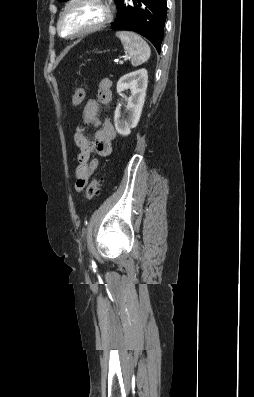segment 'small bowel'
Masks as SVG:
<instances>
[{
  "instance_id": "1",
  "label": "small bowel",
  "mask_w": 254,
  "mask_h": 397,
  "mask_svg": "<svg viewBox=\"0 0 254 397\" xmlns=\"http://www.w3.org/2000/svg\"><path fill=\"white\" fill-rule=\"evenodd\" d=\"M111 86L112 82L108 78H103L98 82L97 97L86 103L76 126L74 141L79 149L75 171L77 191L84 189L90 175L98 166V159L93 158V154L107 157L112 151L111 143L116 136L115 129L109 119L102 121L99 116L100 105H107L111 102ZM89 126L96 130L94 139H91L88 134Z\"/></svg>"
}]
</instances>
